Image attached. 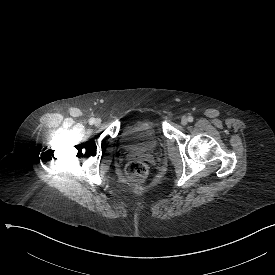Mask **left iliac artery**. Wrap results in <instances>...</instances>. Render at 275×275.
Here are the masks:
<instances>
[{
  "instance_id": "left-iliac-artery-1",
  "label": "left iliac artery",
  "mask_w": 275,
  "mask_h": 275,
  "mask_svg": "<svg viewBox=\"0 0 275 275\" xmlns=\"http://www.w3.org/2000/svg\"><path fill=\"white\" fill-rule=\"evenodd\" d=\"M188 121H189V122H192V121H193V117H192V116H189V117H188Z\"/></svg>"
}]
</instances>
